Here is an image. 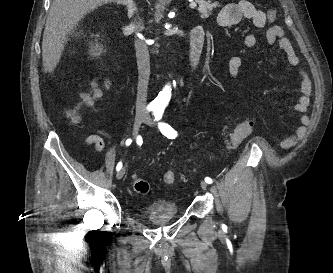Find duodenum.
I'll return each mask as SVG.
<instances>
[{
	"label": "duodenum",
	"instance_id": "1",
	"mask_svg": "<svg viewBox=\"0 0 333 273\" xmlns=\"http://www.w3.org/2000/svg\"><path fill=\"white\" fill-rule=\"evenodd\" d=\"M204 30L201 26L195 27L190 36L189 65L196 70L200 63L201 53L204 45Z\"/></svg>",
	"mask_w": 333,
	"mask_h": 273
}]
</instances>
